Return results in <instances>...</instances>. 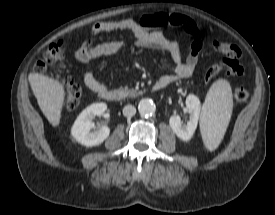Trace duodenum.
<instances>
[{
	"label": "duodenum",
	"mask_w": 275,
	"mask_h": 215,
	"mask_svg": "<svg viewBox=\"0 0 275 215\" xmlns=\"http://www.w3.org/2000/svg\"><path fill=\"white\" fill-rule=\"evenodd\" d=\"M169 85V82L165 79H159L155 82L153 85V90L159 91L164 89ZM99 95L102 99L107 101H118L121 98V93L119 91L113 90V89H104L101 92H99Z\"/></svg>",
	"instance_id": "1"
}]
</instances>
